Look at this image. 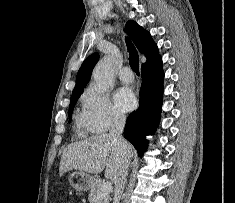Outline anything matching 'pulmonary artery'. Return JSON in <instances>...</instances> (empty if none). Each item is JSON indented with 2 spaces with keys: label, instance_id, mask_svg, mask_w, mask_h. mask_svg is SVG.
<instances>
[{
  "label": "pulmonary artery",
  "instance_id": "obj_1",
  "mask_svg": "<svg viewBox=\"0 0 235 203\" xmlns=\"http://www.w3.org/2000/svg\"><path fill=\"white\" fill-rule=\"evenodd\" d=\"M119 79L123 82V83H131L134 80V76L130 70L129 67H124L120 70L119 74Z\"/></svg>",
  "mask_w": 235,
  "mask_h": 203
}]
</instances>
